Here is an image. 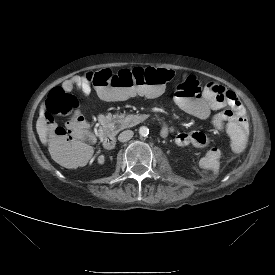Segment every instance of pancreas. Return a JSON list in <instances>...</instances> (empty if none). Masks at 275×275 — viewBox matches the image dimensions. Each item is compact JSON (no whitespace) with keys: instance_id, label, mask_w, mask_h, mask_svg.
Returning <instances> with one entry per match:
<instances>
[{"instance_id":"1","label":"pancreas","mask_w":275,"mask_h":275,"mask_svg":"<svg viewBox=\"0 0 275 275\" xmlns=\"http://www.w3.org/2000/svg\"><path fill=\"white\" fill-rule=\"evenodd\" d=\"M141 121V115H134V114H129L127 115L125 112L116 114L113 117V123L116 124V129L118 131L123 130L125 128H130Z\"/></svg>"}]
</instances>
